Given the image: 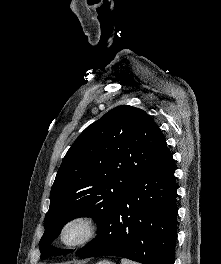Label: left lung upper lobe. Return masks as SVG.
I'll list each match as a JSON object with an SVG mask.
<instances>
[{
	"label": "left lung upper lobe",
	"instance_id": "left-lung-upper-lobe-1",
	"mask_svg": "<svg viewBox=\"0 0 221 264\" xmlns=\"http://www.w3.org/2000/svg\"><path fill=\"white\" fill-rule=\"evenodd\" d=\"M166 147L154 120L132 106L115 107L88 126L66 153L51 188L42 258L71 251L51 244L68 221L89 216L100 226Z\"/></svg>",
	"mask_w": 221,
	"mask_h": 264
}]
</instances>
